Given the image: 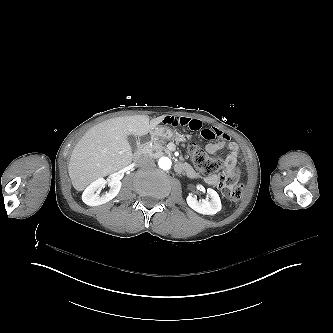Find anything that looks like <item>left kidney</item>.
I'll return each mask as SVG.
<instances>
[{"instance_id": "1", "label": "left kidney", "mask_w": 333, "mask_h": 333, "mask_svg": "<svg viewBox=\"0 0 333 333\" xmlns=\"http://www.w3.org/2000/svg\"><path fill=\"white\" fill-rule=\"evenodd\" d=\"M207 193L210 196L209 201L208 200L198 201L195 197L189 195L186 199L187 204L189 205V207H191L194 211L198 213L205 215H214L217 212H219L222 208L221 200L218 193L215 190L208 188Z\"/></svg>"}]
</instances>
